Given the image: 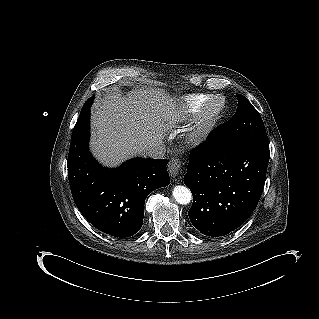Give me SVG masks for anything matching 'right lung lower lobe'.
<instances>
[{
	"mask_svg": "<svg viewBox=\"0 0 319 319\" xmlns=\"http://www.w3.org/2000/svg\"><path fill=\"white\" fill-rule=\"evenodd\" d=\"M89 108L79 116L71 137L68 178L72 196L95 228L114 237H130L142 227L148 194L170 182L167 160L134 158L116 169L102 167L88 150Z\"/></svg>",
	"mask_w": 319,
	"mask_h": 319,
	"instance_id": "98d812e1",
	"label": "right lung lower lobe"
}]
</instances>
